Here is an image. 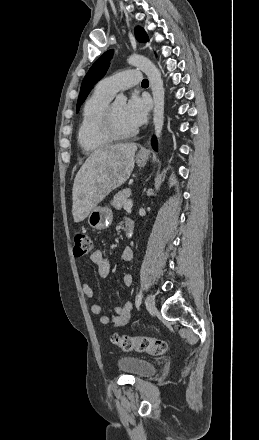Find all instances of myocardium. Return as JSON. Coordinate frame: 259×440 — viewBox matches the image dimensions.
<instances>
[{"instance_id":"obj_1","label":"myocardium","mask_w":259,"mask_h":440,"mask_svg":"<svg viewBox=\"0 0 259 440\" xmlns=\"http://www.w3.org/2000/svg\"><path fill=\"white\" fill-rule=\"evenodd\" d=\"M114 103H110L103 116L102 131L112 141H121L134 137L138 133V129L131 131H121L116 124L113 110Z\"/></svg>"}]
</instances>
